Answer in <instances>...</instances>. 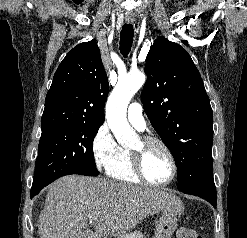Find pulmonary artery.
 Masks as SVG:
<instances>
[{
	"instance_id": "e3ab8cb5",
	"label": "pulmonary artery",
	"mask_w": 247,
	"mask_h": 238,
	"mask_svg": "<svg viewBox=\"0 0 247 238\" xmlns=\"http://www.w3.org/2000/svg\"><path fill=\"white\" fill-rule=\"evenodd\" d=\"M127 118L128 121L137 129L143 130L145 128L146 123L143 116V110L139 103L133 102L129 105Z\"/></svg>"
}]
</instances>
